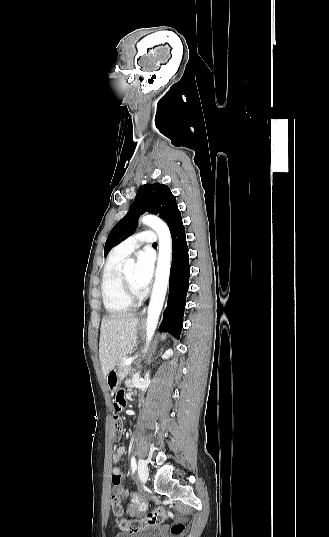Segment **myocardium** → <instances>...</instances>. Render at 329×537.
I'll list each match as a JSON object with an SVG mask.
<instances>
[{"instance_id": "obj_1", "label": "myocardium", "mask_w": 329, "mask_h": 537, "mask_svg": "<svg viewBox=\"0 0 329 537\" xmlns=\"http://www.w3.org/2000/svg\"><path fill=\"white\" fill-rule=\"evenodd\" d=\"M120 283H121V288H122L124 296L130 302L137 303L143 298V296H144L143 294H135L132 291V289H131V287H130V285H129V283H128L123 271L120 272Z\"/></svg>"}]
</instances>
